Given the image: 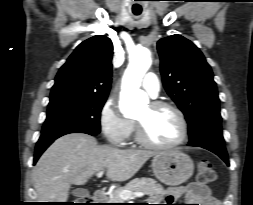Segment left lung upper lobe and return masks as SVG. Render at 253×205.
Returning a JSON list of instances; mask_svg holds the SVG:
<instances>
[{
	"label": "left lung upper lobe",
	"mask_w": 253,
	"mask_h": 205,
	"mask_svg": "<svg viewBox=\"0 0 253 205\" xmlns=\"http://www.w3.org/2000/svg\"><path fill=\"white\" fill-rule=\"evenodd\" d=\"M157 49L165 90L189 124L188 145H224L216 83L202 52L177 34L160 39Z\"/></svg>",
	"instance_id": "1"
}]
</instances>
